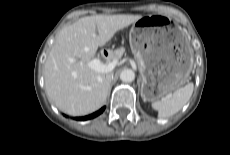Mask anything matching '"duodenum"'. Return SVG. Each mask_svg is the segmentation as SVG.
Listing matches in <instances>:
<instances>
[{
	"label": "duodenum",
	"instance_id": "duodenum-1",
	"mask_svg": "<svg viewBox=\"0 0 230 155\" xmlns=\"http://www.w3.org/2000/svg\"><path fill=\"white\" fill-rule=\"evenodd\" d=\"M101 56H102V58L106 59L108 57V51L107 50H103L101 52Z\"/></svg>",
	"mask_w": 230,
	"mask_h": 155
}]
</instances>
